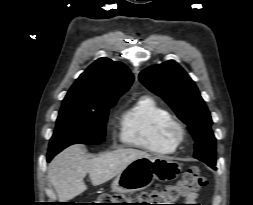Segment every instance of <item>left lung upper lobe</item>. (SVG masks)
<instances>
[{
	"mask_svg": "<svg viewBox=\"0 0 253 205\" xmlns=\"http://www.w3.org/2000/svg\"><path fill=\"white\" fill-rule=\"evenodd\" d=\"M139 79L162 97L188 125L195 140L194 157L215 169L216 139L211 130L212 119L196 85L184 69L169 60L143 70Z\"/></svg>",
	"mask_w": 253,
	"mask_h": 205,
	"instance_id": "1",
	"label": "left lung upper lobe"
}]
</instances>
